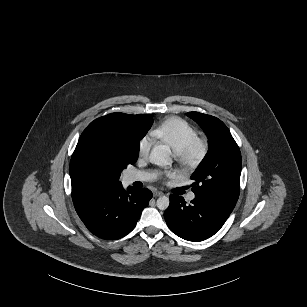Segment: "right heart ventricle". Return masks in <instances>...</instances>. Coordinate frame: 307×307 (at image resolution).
Returning a JSON list of instances; mask_svg holds the SVG:
<instances>
[{"label":"right heart ventricle","instance_id":"1","mask_svg":"<svg viewBox=\"0 0 307 307\" xmlns=\"http://www.w3.org/2000/svg\"><path fill=\"white\" fill-rule=\"evenodd\" d=\"M155 144L164 143L173 151H180L197 137L196 132L183 120L169 117L149 130Z\"/></svg>","mask_w":307,"mask_h":307}]
</instances>
